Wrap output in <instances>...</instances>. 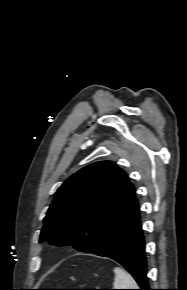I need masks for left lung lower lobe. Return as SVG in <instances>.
Wrapping results in <instances>:
<instances>
[{
    "label": "left lung lower lobe",
    "mask_w": 187,
    "mask_h": 290,
    "mask_svg": "<svg viewBox=\"0 0 187 290\" xmlns=\"http://www.w3.org/2000/svg\"><path fill=\"white\" fill-rule=\"evenodd\" d=\"M91 253L117 261L135 278L140 290H151L146 275L145 242L137 199L102 243Z\"/></svg>",
    "instance_id": "obj_1"
}]
</instances>
